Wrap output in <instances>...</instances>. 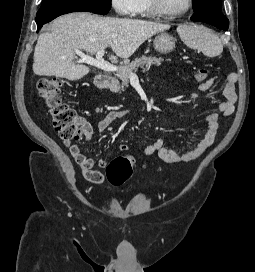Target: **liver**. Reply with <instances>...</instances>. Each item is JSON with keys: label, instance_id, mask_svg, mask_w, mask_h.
<instances>
[{"label": "liver", "instance_id": "obj_1", "mask_svg": "<svg viewBox=\"0 0 255 272\" xmlns=\"http://www.w3.org/2000/svg\"><path fill=\"white\" fill-rule=\"evenodd\" d=\"M168 29V24L140 19L100 17L86 12L66 14L53 21L50 32L39 36L33 72L79 80L89 73V68L74 62L76 49L94 54L109 45L116 54L110 59H128L152 35Z\"/></svg>", "mask_w": 255, "mask_h": 272}]
</instances>
